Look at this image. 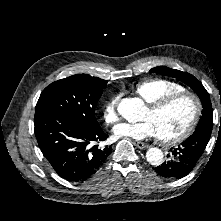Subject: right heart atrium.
Here are the masks:
<instances>
[{
	"instance_id": "right-heart-atrium-1",
	"label": "right heart atrium",
	"mask_w": 221,
	"mask_h": 221,
	"mask_svg": "<svg viewBox=\"0 0 221 221\" xmlns=\"http://www.w3.org/2000/svg\"><path fill=\"white\" fill-rule=\"evenodd\" d=\"M118 101H119V97L113 96L104 105L103 119L105 123L108 125H112L116 123L119 119L118 112H117Z\"/></svg>"
}]
</instances>
